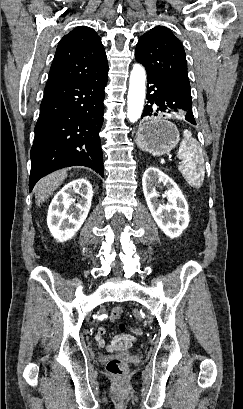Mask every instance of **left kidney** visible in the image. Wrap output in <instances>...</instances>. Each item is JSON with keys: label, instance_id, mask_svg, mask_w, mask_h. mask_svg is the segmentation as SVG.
Here are the masks:
<instances>
[{"label": "left kidney", "instance_id": "5707ae66", "mask_svg": "<svg viewBox=\"0 0 243 409\" xmlns=\"http://www.w3.org/2000/svg\"><path fill=\"white\" fill-rule=\"evenodd\" d=\"M163 183L167 204H161L155 187ZM143 193L151 215L159 228L170 238L180 236L189 224L188 204L177 184L158 168L149 167L142 177Z\"/></svg>", "mask_w": 243, "mask_h": 409}]
</instances>
